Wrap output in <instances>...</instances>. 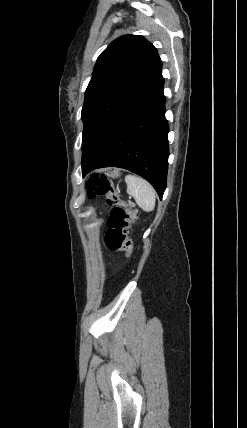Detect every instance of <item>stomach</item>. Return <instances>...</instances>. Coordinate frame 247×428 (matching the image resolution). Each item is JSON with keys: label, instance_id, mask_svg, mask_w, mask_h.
<instances>
[{"label": "stomach", "instance_id": "0dacf381", "mask_svg": "<svg viewBox=\"0 0 247 428\" xmlns=\"http://www.w3.org/2000/svg\"><path fill=\"white\" fill-rule=\"evenodd\" d=\"M108 174H109V176H111V177H117V176H119V173H118V171H117V170H113V171L109 172Z\"/></svg>", "mask_w": 247, "mask_h": 428}]
</instances>
